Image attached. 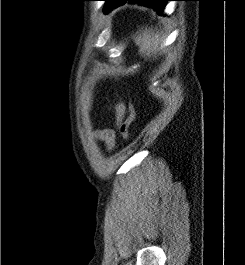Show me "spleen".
<instances>
[{
	"label": "spleen",
	"instance_id": "3e777b00",
	"mask_svg": "<svg viewBox=\"0 0 245 265\" xmlns=\"http://www.w3.org/2000/svg\"><path fill=\"white\" fill-rule=\"evenodd\" d=\"M135 43L140 48L141 54L150 56L151 53H156L160 50L163 43V38H160L157 33L151 30L142 31L137 37H134Z\"/></svg>",
	"mask_w": 245,
	"mask_h": 265
}]
</instances>
